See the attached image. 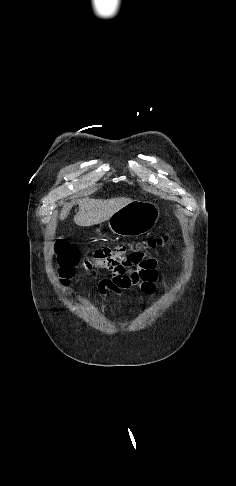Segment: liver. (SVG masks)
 <instances>
[{
  "label": "liver",
  "instance_id": "obj_1",
  "mask_svg": "<svg viewBox=\"0 0 236 486\" xmlns=\"http://www.w3.org/2000/svg\"><path fill=\"white\" fill-rule=\"evenodd\" d=\"M130 202L131 199L124 197L107 200L84 198L79 201V211L74 216V222L82 227L100 224ZM70 208L69 204L63 207L60 213L62 220L68 216Z\"/></svg>",
  "mask_w": 236,
  "mask_h": 486
}]
</instances>
